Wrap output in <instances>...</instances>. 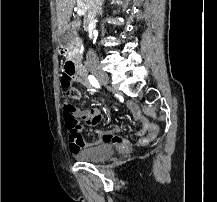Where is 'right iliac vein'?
<instances>
[{"label":"right iliac vein","instance_id":"1","mask_svg":"<svg viewBox=\"0 0 217 202\" xmlns=\"http://www.w3.org/2000/svg\"><path fill=\"white\" fill-rule=\"evenodd\" d=\"M95 76L101 83H104V84L110 83L109 77L105 74H99V75H95Z\"/></svg>","mask_w":217,"mask_h":202}]
</instances>
